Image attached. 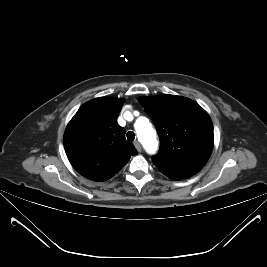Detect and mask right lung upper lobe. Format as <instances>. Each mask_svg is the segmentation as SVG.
<instances>
[{"mask_svg":"<svg viewBox=\"0 0 267 267\" xmlns=\"http://www.w3.org/2000/svg\"><path fill=\"white\" fill-rule=\"evenodd\" d=\"M123 99L96 98L83 104L64 133L69 161L82 176L105 181L118 173L137 150L117 123Z\"/></svg>","mask_w":267,"mask_h":267,"instance_id":"cb5924a9","label":"right lung upper lobe"}]
</instances>
